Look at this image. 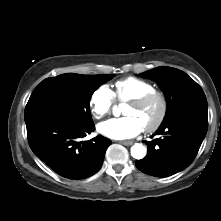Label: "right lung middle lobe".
<instances>
[{
  "label": "right lung middle lobe",
  "instance_id": "1",
  "mask_svg": "<svg viewBox=\"0 0 221 221\" xmlns=\"http://www.w3.org/2000/svg\"><path fill=\"white\" fill-rule=\"evenodd\" d=\"M114 75L66 73L42 81L31 94L25 108V122L39 115H56L79 126L93 123L90 99L100 85Z\"/></svg>",
  "mask_w": 221,
  "mask_h": 221
}]
</instances>
